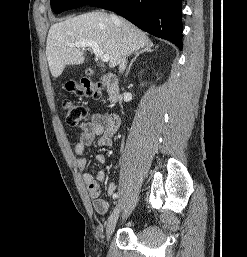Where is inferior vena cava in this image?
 <instances>
[{
	"label": "inferior vena cava",
	"mask_w": 247,
	"mask_h": 257,
	"mask_svg": "<svg viewBox=\"0 0 247 257\" xmlns=\"http://www.w3.org/2000/svg\"><path fill=\"white\" fill-rule=\"evenodd\" d=\"M111 18H112V20L115 21V22L118 21V18H117L115 15H113V14L111 15ZM126 63H127L126 57H124V58L121 60V62L119 63V71H120L121 73L125 70V68H126Z\"/></svg>",
	"instance_id": "obj_1"
}]
</instances>
